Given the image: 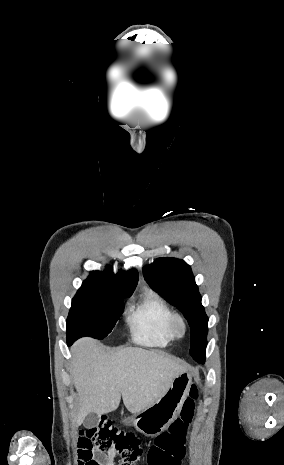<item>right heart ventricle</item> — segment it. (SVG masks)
Instances as JSON below:
<instances>
[{
    "instance_id": "e07e8e85",
    "label": "right heart ventricle",
    "mask_w": 284,
    "mask_h": 465,
    "mask_svg": "<svg viewBox=\"0 0 284 465\" xmlns=\"http://www.w3.org/2000/svg\"><path fill=\"white\" fill-rule=\"evenodd\" d=\"M174 314L162 296L147 289L139 301L129 308L125 323L136 343L144 346H168L174 341L169 331Z\"/></svg>"
}]
</instances>
